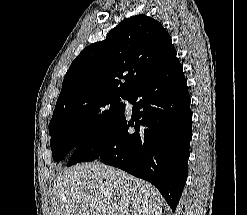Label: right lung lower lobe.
<instances>
[{
	"instance_id": "right-lung-lower-lobe-1",
	"label": "right lung lower lobe",
	"mask_w": 247,
	"mask_h": 215,
	"mask_svg": "<svg viewBox=\"0 0 247 215\" xmlns=\"http://www.w3.org/2000/svg\"><path fill=\"white\" fill-rule=\"evenodd\" d=\"M176 55L173 50L160 69L128 96L131 119L124 111L78 144L67 164L101 159L152 183L173 212L187 179L192 136L187 81Z\"/></svg>"
}]
</instances>
